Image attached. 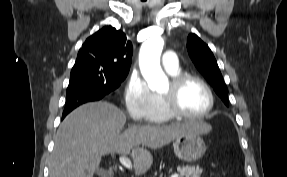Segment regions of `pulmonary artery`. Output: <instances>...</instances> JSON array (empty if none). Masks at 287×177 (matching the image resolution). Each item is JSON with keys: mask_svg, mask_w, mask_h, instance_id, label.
<instances>
[{"mask_svg": "<svg viewBox=\"0 0 287 177\" xmlns=\"http://www.w3.org/2000/svg\"><path fill=\"white\" fill-rule=\"evenodd\" d=\"M162 65L168 72H174L179 69L177 55L173 50H167L162 58Z\"/></svg>", "mask_w": 287, "mask_h": 177, "instance_id": "e3ab8cb5", "label": "pulmonary artery"}]
</instances>
